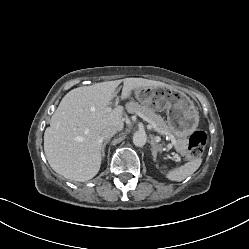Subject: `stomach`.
I'll return each mask as SVG.
<instances>
[{
	"label": "stomach",
	"instance_id": "stomach-1",
	"mask_svg": "<svg viewBox=\"0 0 249 249\" xmlns=\"http://www.w3.org/2000/svg\"><path fill=\"white\" fill-rule=\"evenodd\" d=\"M137 100L155 111L166 109L168 126L178 136H189L199 123V114L191 99L183 92L167 87H140L135 89Z\"/></svg>",
	"mask_w": 249,
	"mask_h": 249
}]
</instances>
